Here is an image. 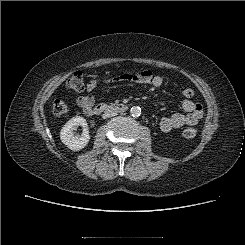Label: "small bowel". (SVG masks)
I'll return each mask as SVG.
<instances>
[{"mask_svg":"<svg viewBox=\"0 0 245 245\" xmlns=\"http://www.w3.org/2000/svg\"><path fill=\"white\" fill-rule=\"evenodd\" d=\"M111 81H134L141 84H150L155 88H161L163 79L150 70H143L135 73L122 74L111 78ZM97 81L91 80L87 83V91L91 92L97 87ZM95 99L92 95L80 96L77 99V105L87 115H90V110L93 108ZM184 113H175L170 116H165L160 121V129L163 132H169L172 129L179 128L184 125H195L203 117V106L201 103H196L190 98H186L182 103Z\"/></svg>","mask_w":245,"mask_h":245,"instance_id":"obj_1","label":"small bowel"}]
</instances>
